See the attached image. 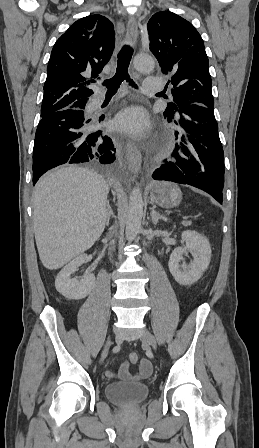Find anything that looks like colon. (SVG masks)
I'll return each instance as SVG.
<instances>
[{"mask_svg":"<svg viewBox=\"0 0 259 448\" xmlns=\"http://www.w3.org/2000/svg\"><path fill=\"white\" fill-rule=\"evenodd\" d=\"M128 359H129V361H130L131 363H137V362L139 361V356H138V354H136V353H131V354L128 356Z\"/></svg>","mask_w":259,"mask_h":448,"instance_id":"obj_1","label":"colon"}]
</instances>
